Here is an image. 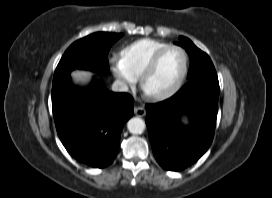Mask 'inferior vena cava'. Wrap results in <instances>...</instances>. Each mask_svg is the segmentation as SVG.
<instances>
[{"label":"inferior vena cava","instance_id":"obj_1","mask_svg":"<svg viewBox=\"0 0 272 198\" xmlns=\"http://www.w3.org/2000/svg\"><path fill=\"white\" fill-rule=\"evenodd\" d=\"M112 90L115 92H127L128 91V86L119 80H116L113 84H112Z\"/></svg>","mask_w":272,"mask_h":198}]
</instances>
